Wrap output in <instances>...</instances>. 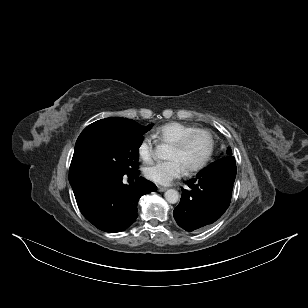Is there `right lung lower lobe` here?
<instances>
[{
	"label": "right lung lower lobe",
	"mask_w": 308,
	"mask_h": 308,
	"mask_svg": "<svg viewBox=\"0 0 308 308\" xmlns=\"http://www.w3.org/2000/svg\"><path fill=\"white\" fill-rule=\"evenodd\" d=\"M132 185L123 184V176L86 175L71 184L83 216L98 229L115 233L128 228L137 217L139 198L156 191V185L139 177V171L128 175Z\"/></svg>",
	"instance_id": "obj_1"
}]
</instances>
